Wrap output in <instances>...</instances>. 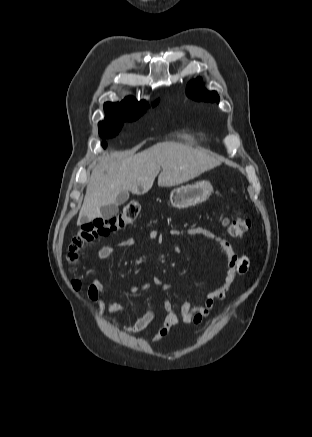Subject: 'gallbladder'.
<instances>
[{
	"instance_id": "1",
	"label": "gallbladder",
	"mask_w": 312,
	"mask_h": 437,
	"mask_svg": "<svg viewBox=\"0 0 312 437\" xmlns=\"http://www.w3.org/2000/svg\"><path fill=\"white\" fill-rule=\"evenodd\" d=\"M128 199H129V192L128 191L121 192L117 196L115 203L101 207V210H100L101 217L103 219H108V218H111V217L117 215V213L119 211L118 206L125 203ZM85 222H86V220L82 219V223H85Z\"/></svg>"
}]
</instances>
